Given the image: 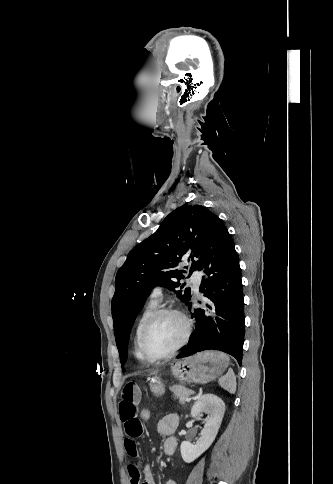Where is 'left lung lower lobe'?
I'll return each mask as SVG.
<instances>
[{"label": "left lung lower lobe", "instance_id": "left-lung-lower-lobe-1", "mask_svg": "<svg viewBox=\"0 0 333 484\" xmlns=\"http://www.w3.org/2000/svg\"><path fill=\"white\" fill-rule=\"evenodd\" d=\"M195 270L208 276L200 286L207 304L191 310L195 328L177 358L214 349L232 355L241 365L245 332L241 272L231 235L218 217L212 221Z\"/></svg>", "mask_w": 333, "mask_h": 484}]
</instances>
